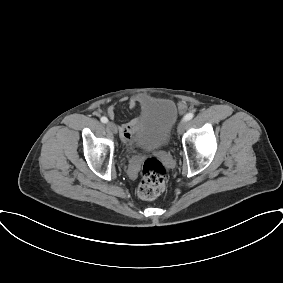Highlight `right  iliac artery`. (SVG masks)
Segmentation results:
<instances>
[{"mask_svg": "<svg viewBox=\"0 0 283 283\" xmlns=\"http://www.w3.org/2000/svg\"><path fill=\"white\" fill-rule=\"evenodd\" d=\"M101 122H102V123H107V122H108V119H107L106 117H102V118H101Z\"/></svg>", "mask_w": 283, "mask_h": 283, "instance_id": "obj_1", "label": "right iliac artery"}]
</instances>
